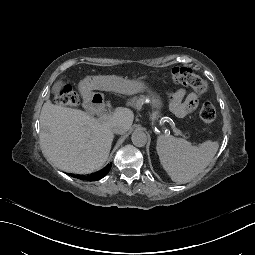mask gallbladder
Returning <instances> with one entry per match:
<instances>
[{
	"instance_id": "1",
	"label": "gallbladder",
	"mask_w": 255,
	"mask_h": 255,
	"mask_svg": "<svg viewBox=\"0 0 255 255\" xmlns=\"http://www.w3.org/2000/svg\"><path fill=\"white\" fill-rule=\"evenodd\" d=\"M62 86H63L62 81L56 82V83L53 85V87H52V92H53L54 94H58L59 91H60V89L62 88Z\"/></svg>"
}]
</instances>
